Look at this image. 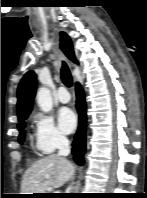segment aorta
Here are the masks:
<instances>
[{
  "instance_id": "1",
  "label": "aorta",
  "mask_w": 147,
  "mask_h": 198,
  "mask_svg": "<svg viewBox=\"0 0 147 198\" xmlns=\"http://www.w3.org/2000/svg\"><path fill=\"white\" fill-rule=\"evenodd\" d=\"M37 104L44 112H49L53 108L52 96L46 87H40L36 95Z\"/></svg>"
}]
</instances>
